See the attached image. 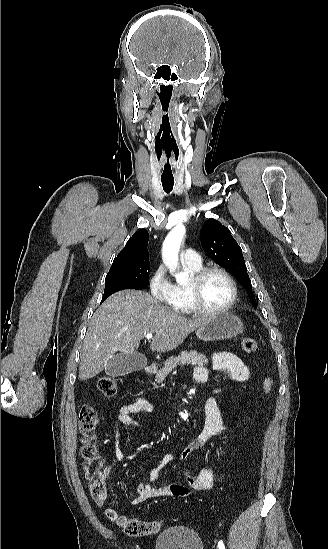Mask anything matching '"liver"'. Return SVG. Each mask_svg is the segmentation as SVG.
<instances>
[{"label": "liver", "instance_id": "1", "mask_svg": "<svg viewBox=\"0 0 328 549\" xmlns=\"http://www.w3.org/2000/svg\"><path fill=\"white\" fill-rule=\"evenodd\" d=\"M206 319L173 313L144 291H119L94 313L82 345L80 381L99 375L115 353L134 355L147 333H154L151 351L167 353L199 329Z\"/></svg>", "mask_w": 328, "mask_h": 549}]
</instances>
